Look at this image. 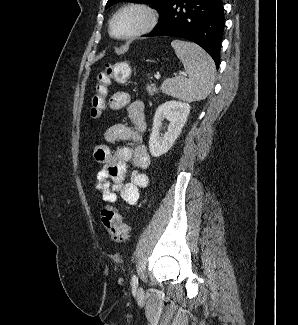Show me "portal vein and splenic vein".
Here are the masks:
<instances>
[{"instance_id":"1","label":"portal vein and splenic vein","mask_w":298,"mask_h":325,"mask_svg":"<svg viewBox=\"0 0 298 325\" xmlns=\"http://www.w3.org/2000/svg\"><path fill=\"white\" fill-rule=\"evenodd\" d=\"M161 74H156L155 78H160Z\"/></svg>"}]
</instances>
